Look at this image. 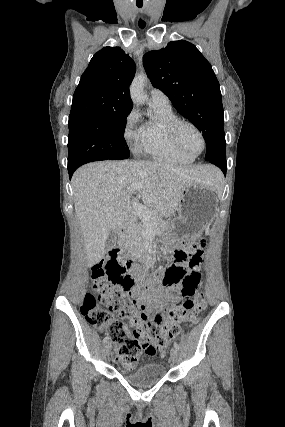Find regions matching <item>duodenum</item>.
I'll list each match as a JSON object with an SVG mask.
<instances>
[{
    "instance_id": "410a0bca",
    "label": "duodenum",
    "mask_w": 285,
    "mask_h": 427,
    "mask_svg": "<svg viewBox=\"0 0 285 427\" xmlns=\"http://www.w3.org/2000/svg\"><path fill=\"white\" fill-rule=\"evenodd\" d=\"M116 226H117V228L119 230H124L125 228L128 227V223L126 221H124V220H120V221L117 222ZM134 229L136 231H138V232H142V229L140 227H135L134 226Z\"/></svg>"
}]
</instances>
